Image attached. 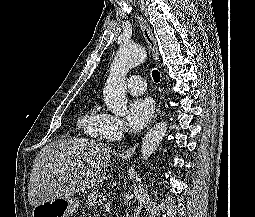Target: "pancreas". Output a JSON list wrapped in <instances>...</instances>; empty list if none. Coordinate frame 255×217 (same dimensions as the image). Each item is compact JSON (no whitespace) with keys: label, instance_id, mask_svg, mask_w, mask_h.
Instances as JSON below:
<instances>
[{"label":"pancreas","instance_id":"pancreas-1","mask_svg":"<svg viewBox=\"0 0 255 217\" xmlns=\"http://www.w3.org/2000/svg\"><path fill=\"white\" fill-rule=\"evenodd\" d=\"M100 198H101L100 192L98 190H95L87 196L86 203L88 204V206L95 207L102 203Z\"/></svg>","mask_w":255,"mask_h":217}]
</instances>
